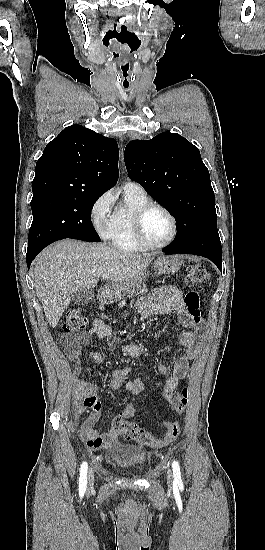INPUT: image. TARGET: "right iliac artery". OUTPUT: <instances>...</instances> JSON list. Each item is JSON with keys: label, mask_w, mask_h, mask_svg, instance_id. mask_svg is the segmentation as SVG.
I'll use <instances>...</instances> for the list:
<instances>
[{"label": "right iliac artery", "mask_w": 265, "mask_h": 550, "mask_svg": "<svg viewBox=\"0 0 265 550\" xmlns=\"http://www.w3.org/2000/svg\"><path fill=\"white\" fill-rule=\"evenodd\" d=\"M87 469L88 465L86 462H83L80 469V478H79V493L84 494L87 486Z\"/></svg>", "instance_id": "obj_1"}]
</instances>
